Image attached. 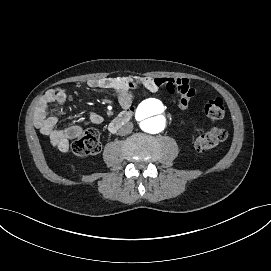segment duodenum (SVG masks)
Masks as SVG:
<instances>
[{
  "instance_id": "obj_1",
  "label": "duodenum",
  "mask_w": 271,
  "mask_h": 271,
  "mask_svg": "<svg viewBox=\"0 0 271 271\" xmlns=\"http://www.w3.org/2000/svg\"><path fill=\"white\" fill-rule=\"evenodd\" d=\"M133 117V112L130 110L123 111L110 123L109 129L112 133L117 132L124 124L129 122Z\"/></svg>"
}]
</instances>
